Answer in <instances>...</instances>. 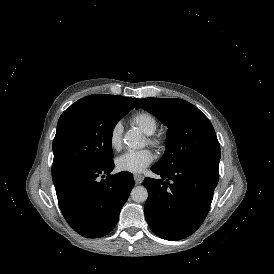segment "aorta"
Listing matches in <instances>:
<instances>
[{"mask_svg": "<svg viewBox=\"0 0 274 274\" xmlns=\"http://www.w3.org/2000/svg\"><path fill=\"white\" fill-rule=\"evenodd\" d=\"M124 142L131 148H141L144 146L142 135L135 130H129L124 136ZM131 198L135 202H145L148 198V191L143 186H136L131 191Z\"/></svg>", "mask_w": 274, "mask_h": 274, "instance_id": "762f6f07", "label": "aorta"}]
</instances>
